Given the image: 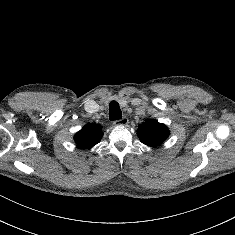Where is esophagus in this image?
<instances>
[{
	"label": "esophagus",
	"instance_id": "esophagus-1",
	"mask_svg": "<svg viewBox=\"0 0 235 235\" xmlns=\"http://www.w3.org/2000/svg\"><path fill=\"white\" fill-rule=\"evenodd\" d=\"M113 124L115 126L127 125L128 124V118L127 117H122L121 119L115 120Z\"/></svg>",
	"mask_w": 235,
	"mask_h": 235
}]
</instances>
